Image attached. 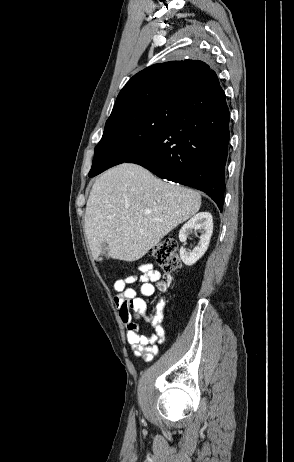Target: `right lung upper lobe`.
<instances>
[{
  "instance_id": "obj_1",
  "label": "right lung upper lobe",
  "mask_w": 294,
  "mask_h": 462,
  "mask_svg": "<svg viewBox=\"0 0 294 462\" xmlns=\"http://www.w3.org/2000/svg\"><path fill=\"white\" fill-rule=\"evenodd\" d=\"M218 77L200 60L154 64L135 74L120 91L112 113L135 103L169 93L184 96L208 89Z\"/></svg>"
}]
</instances>
